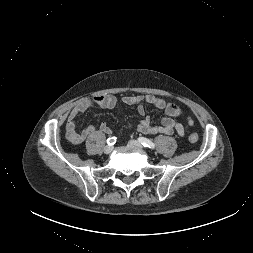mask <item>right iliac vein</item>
<instances>
[{
    "mask_svg": "<svg viewBox=\"0 0 253 253\" xmlns=\"http://www.w3.org/2000/svg\"><path fill=\"white\" fill-rule=\"evenodd\" d=\"M112 150H113V147L110 145L104 147L105 154H110L112 152Z\"/></svg>",
    "mask_w": 253,
    "mask_h": 253,
    "instance_id": "right-iliac-vein-1",
    "label": "right iliac vein"
}]
</instances>
